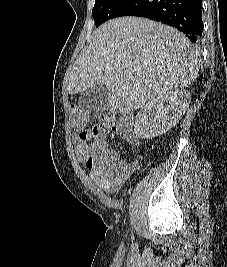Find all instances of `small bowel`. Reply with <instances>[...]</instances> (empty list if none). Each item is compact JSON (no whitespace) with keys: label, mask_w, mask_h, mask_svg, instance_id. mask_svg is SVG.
<instances>
[{"label":"small bowel","mask_w":227,"mask_h":267,"mask_svg":"<svg viewBox=\"0 0 227 267\" xmlns=\"http://www.w3.org/2000/svg\"><path fill=\"white\" fill-rule=\"evenodd\" d=\"M114 133H121L118 126L112 127ZM107 130L95 125L90 129L79 130L74 139L76 158L82 162L89 171L90 178L106 191L126 179L135 170L133 162H121L109 177L106 168L109 163V149L105 147Z\"/></svg>","instance_id":"1"}]
</instances>
